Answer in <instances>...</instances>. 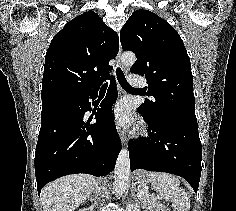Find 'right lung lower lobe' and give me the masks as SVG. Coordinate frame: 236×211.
I'll return each instance as SVG.
<instances>
[{
  "mask_svg": "<svg viewBox=\"0 0 236 211\" xmlns=\"http://www.w3.org/2000/svg\"><path fill=\"white\" fill-rule=\"evenodd\" d=\"M89 94L43 103L41 128L35 151V175L38 195L50 181L59 177L87 173L106 176L114 170L121 143L112 114L117 91L115 79L95 112L94 124L85 120L92 111Z\"/></svg>",
  "mask_w": 236,
  "mask_h": 211,
  "instance_id": "98d812e1",
  "label": "right lung lower lobe"
}]
</instances>
